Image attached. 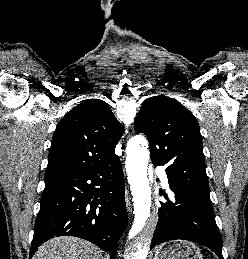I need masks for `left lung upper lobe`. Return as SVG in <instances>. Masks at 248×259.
Segmentation results:
<instances>
[{
	"instance_id": "left-lung-upper-lobe-1",
	"label": "left lung upper lobe",
	"mask_w": 248,
	"mask_h": 259,
	"mask_svg": "<svg viewBox=\"0 0 248 259\" xmlns=\"http://www.w3.org/2000/svg\"><path fill=\"white\" fill-rule=\"evenodd\" d=\"M134 128L146 134L154 166L165 165L173 185L209 196L202 136L187 108L164 95L150 97L143 102Z\"/></svg>"
}]
</instances>
